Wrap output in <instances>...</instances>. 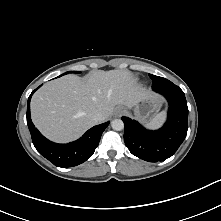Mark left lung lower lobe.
<instances>
[{"instance_id": "left-lung-lower-lobe-1", "label": "left lung lower lobe", "mask_w": 221, "mask_h": 221, "mask_svg": "<svg viewBox=\"0 0 221 221\" xmlns=\"http://www.w3.org/2000/svg\"><path fill=\"white\" fill-rule=\"evenodd\" d=\"M153 90L163 95L169 104L168 118L162 128L147 130L137 121L122 117L126 146L133 155L149 162L171 157L184 141L188 130L187 101L180 87L173 85Z\"/></svg>"}]
</instances>
